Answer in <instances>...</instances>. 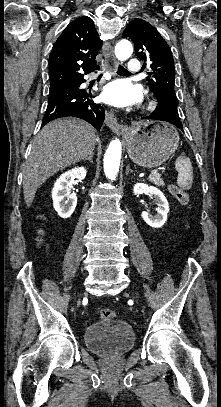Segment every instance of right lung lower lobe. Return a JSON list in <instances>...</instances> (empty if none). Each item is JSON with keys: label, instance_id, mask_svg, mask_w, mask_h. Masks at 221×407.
I'll use <instances>...</instances> for the list:
<instances>
[{"label": "right lung lower lobe", "instance_id": "98d812e1", "mask_svg": "<svg viewBox=\"0 0 221 407\" xmlns=\"http://www.w3.org/2000/svg\"><path fill=\"white\" fill-rule=\"evenodd\" d=\"M85 81L82 76L74 82L50 89L42 126L54 119L72 116L81 118L100 130L104 121V108L90 99V92L80 89Z\"/></svg>", "mask_w": 221, "mask_h": 407}]
</instances>
